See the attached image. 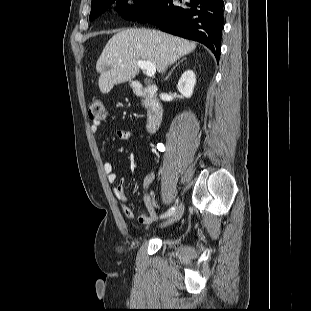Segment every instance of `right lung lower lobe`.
Here are the masks:
<instances>
[{
  "mask_svg": "<svg viewBox=\"0 0 311 311\" xmlns=\"http://www.w3.org/2000/svg\"><path fill=\"white\" fill-rule=\"evenodd\" d=\"M160 0L145 15L134 21L149 22L160 30L198 41L220 57V44L224 24L223 0Z\"/></svg>",
  "mask_w": 311,
  "mask_h": 311,
  "instance_id": "98d812e1",
  "label": "right lung lower lobe"
}]
</instances>
